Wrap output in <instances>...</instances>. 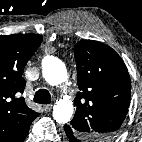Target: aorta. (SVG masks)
I'll return each instance as SVG.
<instances>
[{"mask_svg": "<svg viewBox=\"0 0 142 142\" xmlns=\"http://www.w3.org/2000/svg\"><path fill=\"white\" fill-rule=\"evenodd\" d=\"M42 74L51 86L62 84L67 79L64 63L54 56H46L42 60ZM73 114V104L69 99L57 101L53 107V118L58 123H67Z\"/></svg>", "mask_w": 142, "mask_h": 142, "instance_id": "1", "label": "aorta"}]
</instances>
